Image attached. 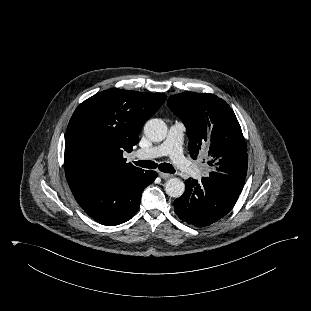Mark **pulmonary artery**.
<instances>
[{
	"label": "pulmonary artery",
	"mask_w": 311,
	"mask_h": 311,
	"mask_svg": "<svg viewBox=\"0 0 311 311\" xmlns=\"http://www.w3.org/2000/svg\"><path fill=\"white\" fill-rule=\"evenodd\" d=\"M185 126L181 122L171 124L165 141L157 146L137 151L136 156L151 159L168 155L174 164L184 173L200 176L203 169L190 162L183 154L182 142Z\"/></svg>",
	"instance_id": "1"
}]
</instances>
